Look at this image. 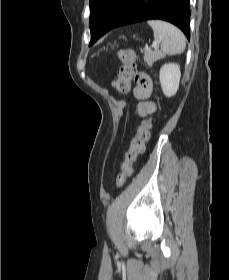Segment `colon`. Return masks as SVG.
Segmentation results:
<instances>
[{
  "mask_svg": "<svg viewBox=\"0 0 229 280\" xmlns=\"http://www.w3.org/2000/svg\"><path fill=\"white\" fill-rule=\"evenodd\" d=\"M118 58L122 67L118 72V84L116 86L120 93L128 89L129 82L134 80L143 91L148 94L152 88V81L149 75L140 72L136 68V52L132 49H123L118 52ZM152 127V117L145 118L137 129L136 135L132 138L130 149L126 155L121 172L116 179V186L121 187L132 173V166L139 154L145 149Z\"/></svg>",
  "mask_w": 229,
  "mask_h": 280,
  "instance_id": "obj_1",
  "label": "colon"
}]
</instances>
